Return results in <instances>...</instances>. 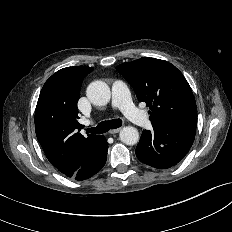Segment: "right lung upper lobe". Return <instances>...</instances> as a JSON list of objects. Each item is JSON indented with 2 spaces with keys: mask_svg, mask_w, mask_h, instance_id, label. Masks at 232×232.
I'll use <instances>...</instances> for the list:
<instances>
[{
  "mask_svg": "<svg viewBox=\"0 0 232 232\" xmlns=\"http://www.w3.org/2000/svg\"><path fill=\"white\" fill-rule=\"evenodd\" d=\"M88 66L63 68L44 84L35 110V131L46 157L61 173L71 177L101 136L81 135L77 101Z\"/></svg>",
  "mask_w": 232,
  "mask_h": 232,
  "instance_id": "obj_1",
  "label": "right lung upper lobe"
}]
</instances>
